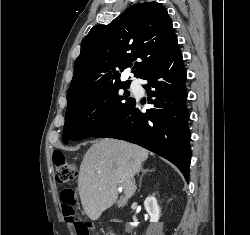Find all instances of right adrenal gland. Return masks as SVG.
Here are the masks:
<instances>
[{"label":"right adrenal gland","instance_id":"obj_1","mask_svg":"<svg viewBox=\"0 0 250 235\" xmlns=\"http://www.w3.org/2000/svg\"><path fill=\"white\" fill-rule=\"evenodd\" d=\"M141 171H142V174H141V176H140L139 188L141 187V184H142V178H143L144 174H145V173H147V172H151V171H152V169H143V168H141Z\"/></svg>","mask_w":250,"mask_h":235}]
</instances>
